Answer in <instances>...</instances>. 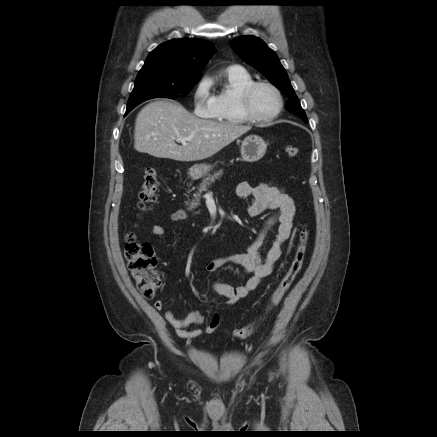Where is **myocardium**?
Returning a JSON list of instances; mask_svg holds the SVG:
<instances>
[{
  "instance_id": "1",
  "label": "myocardium",
  "mask_w": 437,
  "mask_h": 437,
  "mask_svg": "<svg viewBox=\"0 0 437 437\" xmlns=\"http://www.w3.org/2000/svg\"><path fill=\"white\" fill-rule=\"evenodd\" d=\"M262 86L270 88L276 95L278 101V106L276 111L267 117H261L256 115L252 108L253 94L257 88ZM240 105L244 116L249 121L256 122V123H267L275 120L280 115V113L283 110L284 101L280 90L273 83L268 81H253L248 86H246L242 91L240 96Z\"/></svg>"
}]
</instances>
